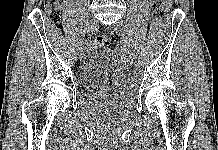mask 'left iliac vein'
Returning a JSON list of instances; mask_svg holds the SVG:
<instances>
[{"label": "left iliac vein", "instance_id": "obj_1", "mask_svg": "<svg viewBox=\"0 0 218 150\" xmlns=\"http://www.w3.org/2000/svg\"><path fill=\"white\" fill-rule=\"evenodd\" d=\"M116 27L120 30L122 36L125 39H127V34L130 31L128 23L125 20H123V19H119L116 22ZM126 42H127V40H126ZM128 52H129L128 58H127L128 65H133V60H132V58L134 57V54L132 53L133 51L130 49Z\"/></svg>", "mask_w": 218, "mask_h": 150}]
</instances>
